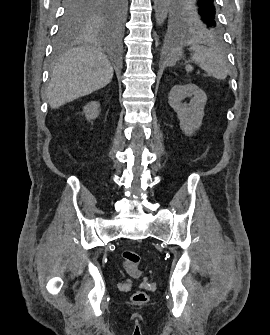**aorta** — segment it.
<instances>
[{
  "label": "aorta",
  "instance_id": "1",
  "mask_svg": "<svg viewBox=\"0 0 270 335\" xmlns=\"http://www.w3.org/2000/svg\"><path fill=\"white\" fill-rule=\"evenodd\" d=\"M170 0H154L155 18L158 26L167 18Z\"/></svg>",
  "mask_w": 270,
  "mask_h": 335
}]
</instances>
